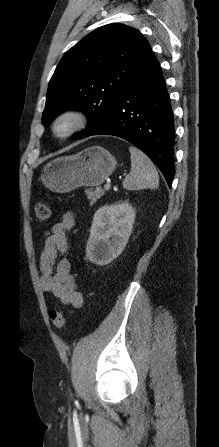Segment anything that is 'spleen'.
Segmentation results:
<instances>
[{"label":"spleen","mask_w":219,"mask_h":447,"mask_svg":"<svg viewBox=\"0 0 219 447\" xmlns=\"http://www.w3.org/2000/svg\"><path fill=\"white\" fill-rule=\"evenodd\" d=\"M131 153V171L123 181L126 190H140L157 188L159 184L158 172L152 161L139 149L129 147Z\"/></svg>","instance_id":"obj_1"}]
</instances>
